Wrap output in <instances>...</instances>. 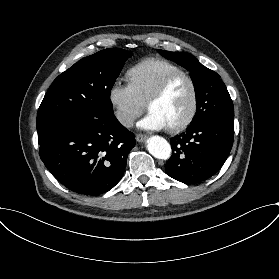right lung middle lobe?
Returning <instances> with one entry per match:
<instances>
[{
	"mask_svg": "<svg viewBox=\"0 0 279 279\" xmlns=\"http://www.w3.org/2000/svg\"><path fill=\"white\" fill-rule=\"evenodd\" d=\"M131 56V52L120 48L104 49L81 59L60 74L39 107L37 129L49 120L115 117L111 89Z\"/></svg>",
	"mask_w": 279,
	"mask_h": 279,
	"instance_id": "1",
	"label": "right lung middle lobe"
}]
</instances>
